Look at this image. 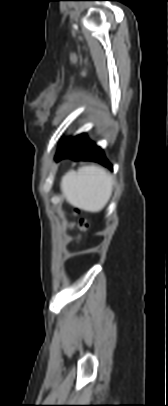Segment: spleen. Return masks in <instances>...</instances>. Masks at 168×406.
<instances>
[{"label": "spleen", "instance_id": "spleen-1", "mask_svg": "<svg viewBox=\"0 0 168 406\" xmlns=\"http://www.w3.org/2000/svg\"><path fill=\"white\" fill-rule=\"evenodd\" d=\"M114 180L98 166H84L67 172L61 180V191L72 206L88 212H99L108 203Z\"/></svg>", "mask_w": 168, "mask_h": 406}]
</instances>
